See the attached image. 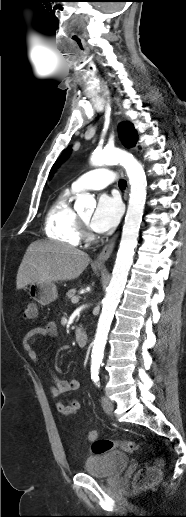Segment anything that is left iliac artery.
Returning <instances> with one entry per match:
<instances>
[{
    "label": "left iliac artery",
    "instance_id": "44dca946",
    "mask_svg": "<svg viewBox=\"0 0 186 517\" xmlns=\"http://www.w3.org/2000/svg\"><path fill=\"white\" fill-rule=\"evenodd\" d=\"M91 378L96 383V385L99 386V376H98V371L97 370H92Z\"/></svg>",
    "mask_w": 186,
    "mask_h": 517
}]
</instances>
